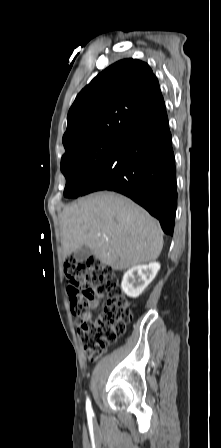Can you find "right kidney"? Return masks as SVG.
I'll list each match as a JSON object with an SVG mask.
<instances>
[{
	"instance_id": "1",
	"label": "right kidney",
	"mask_w": 221,
	"mask_h": 448,
	"mask_svg": "<svg viewBox=\"0 0 221 448\" xmlns=\"http://www.w3.org/2000/svg\"><path fill=\"white\" fill-rule=\"evenodd\" d=\"M159 269L158 262L131 267L124 273L121 283L122 291L131 298H137L152 282Z\"/></svg>"
}]
</instances>
